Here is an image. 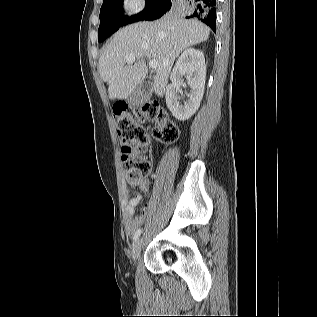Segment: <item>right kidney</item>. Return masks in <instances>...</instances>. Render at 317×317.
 <instances>
[{
	"instance_id": "right-kidney-1",
	"label": "right kidney",
	"mask_w": 317,
	"mask_h": 317,
	"mask_svg": "<svg viewBox=\"0 0 317 317\" xmlns=\"http://www.w3.org/2000/svg\"><path fill=\"white\" fill-rule=\"evenodd\" d=\"M187 75L190 87L188 99L180 102L181 87L184 85L183 76ZM206 77L205 58L202 51L188 48L178 58L172 73L171 84L166 88V104L172 115L184 121L189 119L199 108L204 94Z\"/></svg>"
}]
</instances>
